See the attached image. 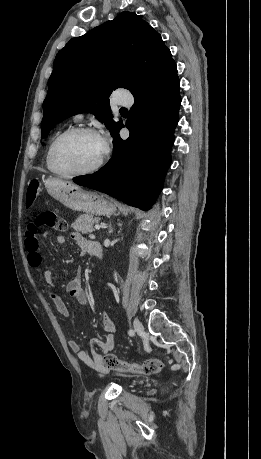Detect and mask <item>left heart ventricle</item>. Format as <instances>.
Segmentation results:
<instances>
[{"label": "left heart ventricle", "instance_id": "1", "mask_svg": "<svg viewBox=\"0 0 261 459\" xmlns=\"http://www.w3.org/2000/svg\"><path fill=\"white\" fill-rule=\"evenodd\" d=\"M104 152L100 138L79 134L64 139L55 152V166L62 172H75L94 165Z\"/></svg>", "mask_w": 261, "mask_h": 459}]
</instances>
